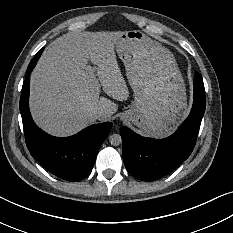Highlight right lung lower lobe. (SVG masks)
<instances>
[{"mask_svg":"<svg viewBox=\"0 0 233 233\" xmlns=\"http://www.w3.org/2000/svg\"><path fill=\"white\" fill-rule=\"evenodd\" d=\"M42 51L43 48L27 68L20 98L26 144L31 155L46 170L66 181H80L91 173L99 148L107 138L112 123L91 125L65 138L53 137L36 126L29 111V85L31 71Z\"/></svg>","mask_w":233,"mask_h":233,"instance_id":"obj_1","label":"right lung lower lobe"}]
</instances>
